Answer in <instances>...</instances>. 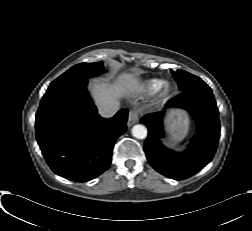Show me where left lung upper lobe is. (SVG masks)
<instances>
[{
    "mask_svg": "<svg viewBox=\"0 0 252 231\" xmlns=\"http://www.w3.org/2000/svg\"><path fill=\"white\" fill-rule=\"evenodd\" d=\"M181 91L209 87L201 78L183 70L171 71Z\"/></svg>",
    "mask_w": 252,
    "mask_h": 231,
    "instance_id": "1",
    "label": "left lung upper lobe"
}]
</instances>
